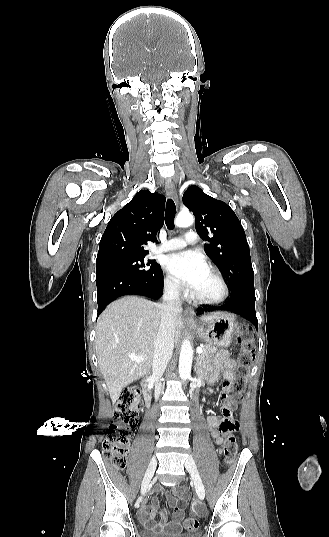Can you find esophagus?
Here are the masks:
<instances>
[{"label": "esophagus", "mask_w": 329, "mask_h": 537, "mask_svg": "<svg viewBox=\"0 0 329 537\" xmlns=\"http://www.w3.org/2000/svg\"><path fill=\"white\" fill-rule=\"evenodd\" d=\"M165 189H166L167 195L177 201V192H176L174 184L171 181L166 182ZM184 313L190 316H193L195 314L194 310L191 308H187Z\"/></svg>", "instance_id": "obj_1"}]
</instances>
